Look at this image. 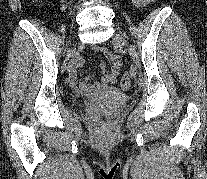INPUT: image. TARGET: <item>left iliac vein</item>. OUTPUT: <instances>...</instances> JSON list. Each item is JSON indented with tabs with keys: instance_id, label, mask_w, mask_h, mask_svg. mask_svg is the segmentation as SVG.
<instances>
[{
	"instance_id": "left-iliac-vein-1",
	"label": "left iliac vein",
	"mask_w": 207,
	"mask_h": 179,
	"mask_svg": "<svg viewBox=\"0 0 207 179\" xmlns=\"http://www.w3.org/2000/svg\"><path fill=\"white\" fill-rule=\"evenodd\" d=\"M113 41L114 42H121V41H124V40L122 39V37L119 34H116L113 38Z\"/></svg>"
}]
</instances>
